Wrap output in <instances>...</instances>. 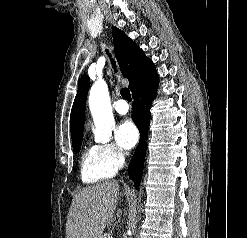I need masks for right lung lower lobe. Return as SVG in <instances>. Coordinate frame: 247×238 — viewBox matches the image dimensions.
<instances>
[{
    "label": "right lung lower lobe",
    "instance_id": "1",
    "mask_svg": "<svg viewBox=\"0 0 247 238\" xmlns=\"http://www.w3.org/2000/svg\"><path fill=\"white\" fill-rule=\"evenodd\" d=\"M158 79V74H155L149 81L132 93L134 99L132 120L139 129L140 141L129 164L128 174L129 178L134 181L136 189L139 188L143 174L146 154L145 140L148 135L150 107L156 95Z\"/></svg>",
    "mask_w": 247,
    "mask_h": 238
}]
</instances>
